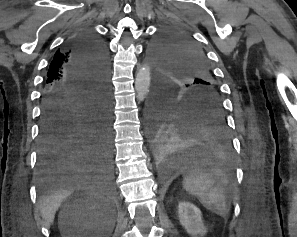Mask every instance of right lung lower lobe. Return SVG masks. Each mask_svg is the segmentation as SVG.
Instances as JSON below:
<instances>
[{
	"label": "right lung lower lobe",
	"mask_w": 297,
	"mask_h": 237,
	"mask_svg": "<svg viewBox=\"0 0 297 237\" xmlns=\"http://www.w3.org/2000/svg\"><path fill=\"white\" fill-rule=\"evenodd\" d=\"M71 82L45 88L38 170L46 177L112 170L108 54L90 30L71 38Z\"/></svg>",
	"instance_id": "right-lung-lower-lobe-1"
}]
</instances>
